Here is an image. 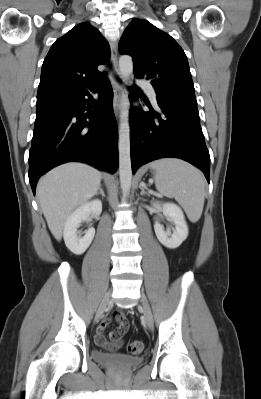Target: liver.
Returning <instances> with one entry per match:
<instances>
[{"mask_svg":"<svg viewBox=\"0 0 261 399\" xmlns=\"http://www.w3.org/2000/svg\"><path fill=\"white\" fill-rule=\"evenodd\" d=\"M102 173L83 163H66L44 175L37 196L48 227L60 241L65 222L72 211L98 191Z\"/></svg>","mask_w":261,"mask_h":399,"instance_id":"1","label":"liver"}]
</instances>
